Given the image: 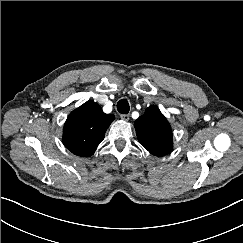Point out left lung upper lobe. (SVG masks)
<instances>
[{
	"label": "left lung upper lobe",
	"mask_w": 243,
	"mask_h": 243,
	"mask_svg": "<svg viewBox=\"0 0 243 243\" xmlns=\"http://www.w3.org/2000/svg\"><path fill=\"white\" fill-rule=\"evenodd\" d=\"M135 130L139 143L151 154L162 157L172 151L171 127L157 106L146 109L135 121Z\"/></svg>",
	"instance_id": "5c2ea615"
}]
</instances>
